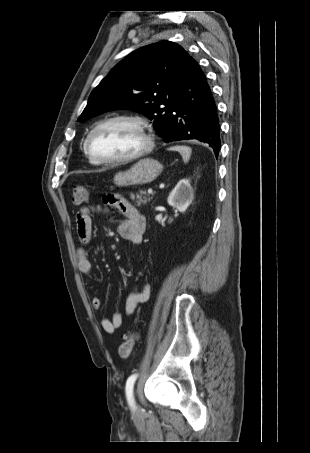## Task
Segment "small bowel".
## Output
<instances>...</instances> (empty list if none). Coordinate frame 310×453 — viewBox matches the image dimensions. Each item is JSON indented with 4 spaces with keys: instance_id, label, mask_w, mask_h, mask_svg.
<instances>
[{
    "instance_id": "small-bowel-1",
    "label": "small bowel",
    "mask_w": 310,
    "mask_h": 453,
    "mask_svg": "<svg viewBox=\"0 0 310 453\" xmlns=\"http://www.w3.org/2000/svg\"><path fill=\"white\" fill-rule=\"evenodd\" d=\"M106 203L118 209L123 220L119 224L118 232L121 238L130 242L133 245H140L146 227V219L134 206H132L125 198L119 195H110L106 198ZM92 209L82 207L76 214V230L81 247L78 250V267L82 274L91 276L93 273L92 263L88 257L86 247L92 240ZM150 297V285L146 282L140 290L132 291L126 299L125 314L132 315L137 306L146 302ZM92 306L99 310L102 306V301L98 296H93ZM124 316L121 312H116L111 319H103L101 322L102 328L107 333H114L123 324Z\"/></svg>"
}]
</instances>
